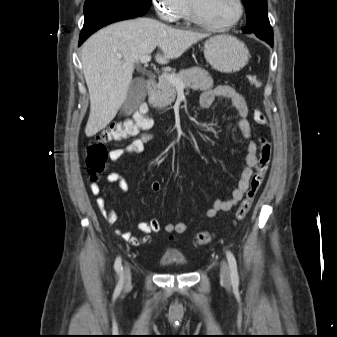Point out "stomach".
Returning <instances> with one entry per match:
<instances>
[{
	"label": "stomach",
	"mask_w": 337,
	"mask_h": 337,
	"mask_svg": "<svg viewBox=\"0 0 337 337\" xmlns=\"http://www.w3.org/2000/svg\"><path fill=\"white\" fill-rule=\"evenodd\" d=\"M204 55L209 64L224 73L237 72L249 60L250 53L243 42L229 35H217L204 44Z\"/></svg>",
	"instance_id": "stomach-1"
}]
</instances>
